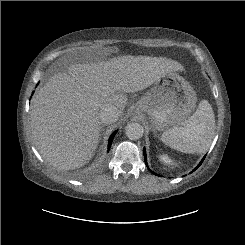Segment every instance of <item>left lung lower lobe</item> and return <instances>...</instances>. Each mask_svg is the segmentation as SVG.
<instances>
[{
  "mask_svg": "<svg viewBox=\"0 0 245 245\" xmlns=\"http://www.w3.org/2000/svg\"><path fill=\"white\" fill-rule=\"evenodd\" d=\"M205 159V156L203 157V159L201 160V162L198 164V166L193 170V171H195L201 164H202V162H203V160ZM144 160H145V164H146V166L148 167V165H147V160H146V150H145V148H144ZM148 169H149V167H148ZM151 171V170H150ZM152 172V171H151ZM153 174H155L154 172H152ZM156 175V174H155Z\"/></svg>",
  "mask_w": 245,
  "mask_h": 245,
  "instance_id": "left-lung-lower-lobe-1",
  "label": "left lung lower lobe"
}]
</instances>
